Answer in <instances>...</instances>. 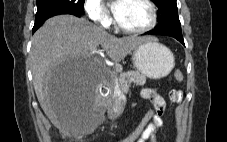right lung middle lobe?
<instances>
[{"mask_svg":"<svg viewBox=\"0 0 227 142\" xmlns=\"http://www.w3.org/2000/svg\"><path fill=\"white\" fill-rule=\"evenodd\" d=\"M85 0H37L36 18L56 13H84Z\"/></svg>","mask_w":227,"mask_h":142,"instance_id":"right-lung-middle-lobe-1","label":"right lung middle lobe"}]
</instances>
